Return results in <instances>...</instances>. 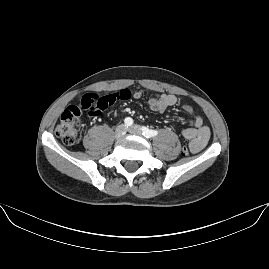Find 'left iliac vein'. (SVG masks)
Returning a JSON list of instances; mask_svg holds the SVG:
<instances>
[{
    "label": "left iliac vein",
    "mask_w": 269,
    "mask_h": 269,
    "mask_svg": "<svg viewBox=\"0 0 269 269\" xmlns=\"http://www.w3.org/2000/svg\"><path fill=\"white\" fill-rule=\"evenodd\" d=\"M128 131L134 135H141L142 134V128L138 125H133L132 127H130L128 129Z\"/></svg>",
    "instance_id": "1"
}]
</instances>
